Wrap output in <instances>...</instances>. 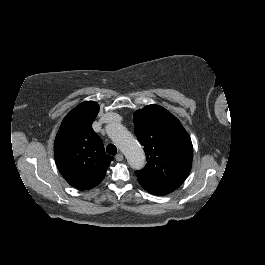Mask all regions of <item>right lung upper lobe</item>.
<instances>
[{
  "instance_id": "1",
  "label": "right lung upper lobe",
  "mask_w": 265,
  "mask_h": 265,
  "mask_svg": "<svg viewBox=\"0 0 265 265\" xmlns=\"http://www.w3.org/2000/svg\"><path fill=\"white\" fill-rule=\"evenodd\" d=\"M98 112L96 102L79 104L63 119L55 138L56 165L64 179L81 190L97 186L114 159L105 153L101 138L92 129Z\"/></svg>"
}]
</instances>
